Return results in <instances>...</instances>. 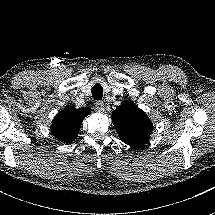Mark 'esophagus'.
<instances>
[{"label":"esophagus","instance_id":"34e87169","mask_svg":"<svg viewBox=\"0 0 215 215\" xmlns=\"http://www.w3.org/2000/svg\"><path fill=\"white\" fill-rule=\"evenodd\" d=\"M95 108L97 111L103 112L105 109L104 103L102 101H97L95 103Z\"/></svg>","mask_w":215,"mask_h":215}]
</instances>
